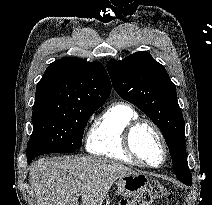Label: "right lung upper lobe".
<instances>
[{"instance_id": "cb5924a9", "label": "right lung upper lobe", "mask_w": 212, "mask_h": 205, "mask_svg": "<svg viewBox=\"0 0 212 205\" xmlns=\"http://www.w3.org/2000/svg\"><path fill=\"white\" fill-rule=\"evenodd\" d=\"M110 92V79L100 62L62 58L49 65L37 84L33 109L63 110L78 105H103Z\"/></svg>"}]
</instances>
